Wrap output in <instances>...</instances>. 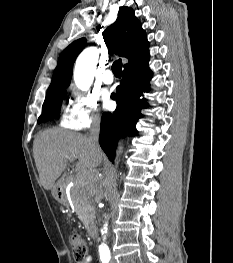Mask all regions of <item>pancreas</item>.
Returning a JSON list of instances; mask_svg holds the SVG:
<instances>
[{
	"instance_id": "obj_1",
	"label": "pancreas",
	"mask_w": 233,
	"mask_h": 263,
	"mask_svg": "<svg viewBox=\"0 0 233 263\" xmlns=\"http://www.w3.org/2000/svg\"><path fill=\"white\" fill-rule=\"evenodd\" d=\"M70 196L78 218L86 228L89 227V225L93 224L95 218V208L90 194L81 192L80 189L75 186L71 188Z\"/></svg>"
}]
</instances>
